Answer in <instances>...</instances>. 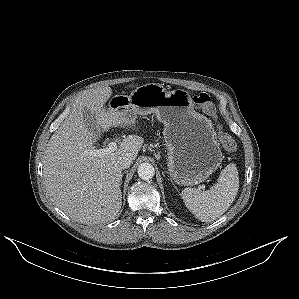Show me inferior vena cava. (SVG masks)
Instances as JSON below:
<instances>
[{
	"label": "inferior vena cava",
	"instance_id": "602c4592",
	"mask_svg": "<svg viewBox=\"0 0 299 299\" xmlns=\"http://www.w3.org/2000/svg\"><path fill=\"white\" fill-rule=\"evenodd\" d=\"M132 160H133L132 155L126 153L125 155L119 158L117 163L121 169H127L128 167H130Z\"/></svg>",
	"mask_w": 299,
	"mask_h": 299
}]
</instances>
